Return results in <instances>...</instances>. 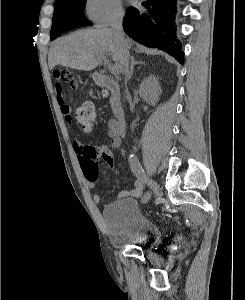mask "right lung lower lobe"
I'll list each match as a JSON object with an SVG mask.
<instances>
[{
  "label": "right lung lower lobe",
  "instance_id": "obj_1",
  "mask_svg": "<svg viewBox=\"0 0 245 300\" xmlns=\"http://www.w3.org/2000/svg\"><path fill=\"white\" fill-rule=\"evenodd\" d=\"M142 5V9L128 8L123 20L125 33L147 47L166 51L183 64L184 52L175 37L176 0H146ZM81 26L84 25L79 22L61 21L58 34Z\"/></svg>",
  "mask_w": 245,
  "mask_h": 300
}]
</instances>
